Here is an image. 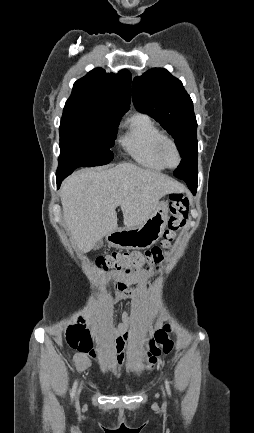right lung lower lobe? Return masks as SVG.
Instances as JSON below:
<instances>
[{
	"label": "right lung lower lobe",
	"mask_w": 254,
	"mask_h": 433,
	"mask_svg": "<svg viewBox=\"0 0 254 433\" xmlns=\"http://www.w3.org/2000/svg\"><path fill=\"white\" fill-rule=\"evenodd\" d=\"M76 168H78L77 165H70V164H59V167L57 169L56 173V180H57V186L60 187L61 182L64 178H66L68 175H70Z\"/></svg>",
	"instance_id": "1"
}]
</instances>
